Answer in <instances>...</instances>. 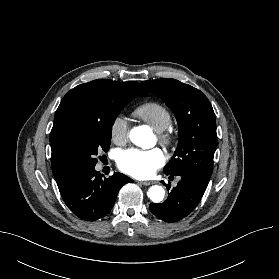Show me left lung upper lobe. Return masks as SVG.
Wrapping results in <instances>:
<instances>
[{
	"mask_svg": "<svg viewBox=\"0 0 279 279\" xmlns=\"http://www.w3.org/2000/svg\"><path fill=\"white\" fill-rule=\"evenodd\" d=\"M141 83L150 93L164 100L178 122V146L163 172L168 175L190 174L209 182L217 134L215 114L207 97L175 79Z\"/></svg>",
	"mask_w": 279,
	"mask_h": 279,
	"instance_id": "obj_1",
	"label": "left lung upper lobe"
}]
</instances>
